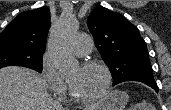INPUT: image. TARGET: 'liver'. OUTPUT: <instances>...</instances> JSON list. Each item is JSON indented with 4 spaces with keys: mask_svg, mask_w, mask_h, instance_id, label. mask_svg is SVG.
<instances>
[{
    "mask_svg": "<svg viewBox=\"0 0 171 110\" xmlns=\"http://www.w3.org/2000/svg\"><path fill=\"white\" fill-rule=\"evenodd\" d=\"M98 105L87 107L88 110ZM0 110H63L36 71L17 66L0 70Z\"/></svg>",
    "mask_w": 171,
    "mask_h": 110,
    "instance_id": "liver-1",
    "label": "liver"
}]
</instances>
